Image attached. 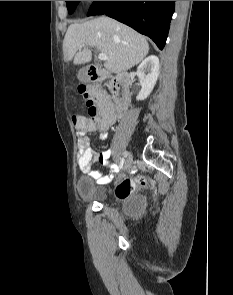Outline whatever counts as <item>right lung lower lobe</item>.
I'll use <instances>...</instances> for the list:
<instances>
[{
  "label": "right lung lower lobe",
  "instance_id": "obj_1",
  "mask_svg": "<svg viewBox=\"0 0 233 295\" xmlns=\"http://www.w3.org/2000/svg\"><path fill=\"white\" fill-rule=\"evenodd\" d=\"M175 1H94L87 15H107L149 36L163 49Z\"/></svg>",
  "mask_w": 233,
  "mask_h": 295
}]
</instances>
